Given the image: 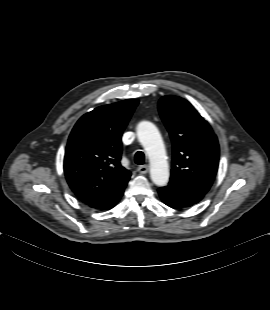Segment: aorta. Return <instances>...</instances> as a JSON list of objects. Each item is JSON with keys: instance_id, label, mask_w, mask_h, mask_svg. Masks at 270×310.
<instances>
[{"instance_id": "762f6f07", "label": "aorta", "mask_w": 270, "mask_h": 310, "mask_svg": "<svg viewBox=\"0 0 270 310\" xmlns=\"http://www.w3.org/2000/svg\"><path fill=\"white\" fill-rule=\"evenodd\" d=\"M137 137L150 160V177L157 186H165L169 180V166L162 137L157 127L148 121L137 126Z\"/></svg>"}]
</instances>
